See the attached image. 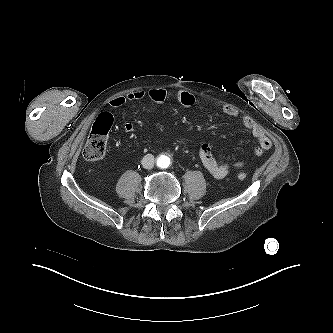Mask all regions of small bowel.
<instances>
[{
    "mask_svg": "<svg viewBox=\"0 0 333 333\" xmlns=\"http://www.w3.org/2000/svg\"><path fill=\"white\" fill-rule=\"evenodd\" d=\"M167 97L168 93L164 88H155L148 91H137L125 96L116 97L110 101V105L113 108H119L131 101H140L143 99H149L155 103H163ZM177 101L185 107H191L196 103V96L193 92L182 89L177 93ZM221 107L223 112L229 116L235 117L238 115L237 111L230 106L223 105ZM241 120L244 127L249 130L257 140L258 146L251 155H246L233 162H219L214 157V146L211 144L202 145L199 151V158L203 166L214 178L222 179L232 172L244 169L251 158L260 157L271 148V140L266 136L259 124L248 115H243ZM123 127L126 132H133L135 130V125L132 122L124 123Z\"/></svg>",
    "mask_w": 333,
    "mask_h": 333,
    "instance_id": "small-bowel-1",
    "label": "small bowel"
}]
</instances>
